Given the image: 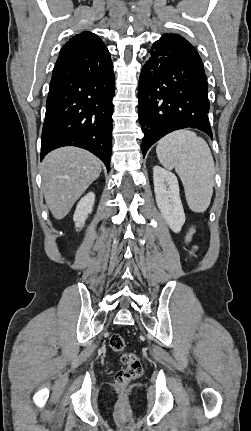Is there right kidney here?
I'll use <instances>...</instances> for the list:
<instances>
[{"mask_svg":"<svg viewBox=\"0 0 251 431\" xmlns=\"http://www.w3.org/2000/svg\"><path fill=\"white\" fill-rule=\"evenodd\" d=\"M94 202L95 194L93 192H89L78 202L73 216L76 228L81 229L84 226L88 214L92 212Z\"/></svg>","mask_w":251,"mask_h":431,"instance_id":"right-kidney-1","label":"right kidney"}]
</instances>
